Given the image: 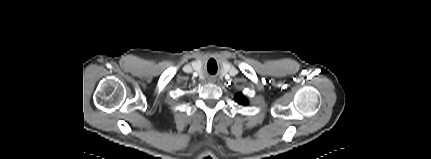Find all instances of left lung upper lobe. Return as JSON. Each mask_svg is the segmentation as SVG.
I'll list each match as a JSON object with an SVG mask.
<instances>
[{
  "label": "left lung upper lobe",
  "mask_w": 431,
  "mask_h": 159,
  "mask_svg": "<svg viewBox=\"0 0 431 159\" xmlns=\"http://www.w3.org/2000/svg\"><path fill=\"white\" fill-rule=\"evenodd\" d=\"M236 98L239 101V103H241V104H245L246 103L245 99L243 98V96L241 94H238L236 96Z\"/></svg>",
  "instance_id": "left-lung-upper-lobe-1"
}]
</instances>
